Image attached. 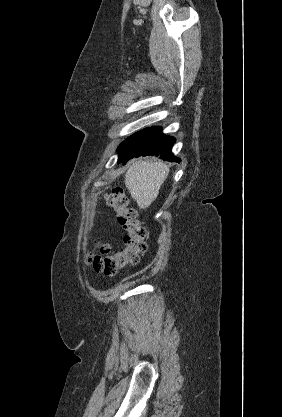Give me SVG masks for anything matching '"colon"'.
Here are the masks:
<instances>
[{"mask_svg": "<svg viewBox=\"0 0 282 417\" xmlns=\"http://www.w3.org/2000/svg\"><path fill=\"white\" fill-rule=\"evenodd\" d=\"M105 200L115 214L116 223L123 231V248L112 254L110 244L103 243L102 254L89 255L87 263L96 272L113 275L138 264L145 252V230L138 220L136 210L129 207L127 197L121 188L113 187L107 190ZM100 242L96 241L97 244Z\"/></svg>", "mask_w": 282, "mask_h": 417, "instance_id": "1", "label": "colon"}]
</instances>
